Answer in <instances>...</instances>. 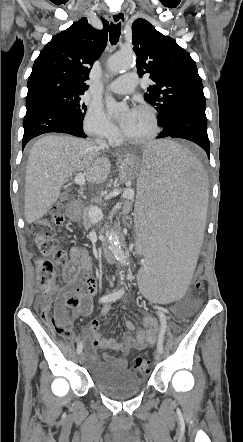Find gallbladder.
Here are the masks:
<instances>
[{"label": "gallbladder", "mask_w": 243, "mask_h": 442, "mask_svg": "<svg viewBox=\"0 0 243 442\" xmlns=\"http://www.w3.org/2000/svg\"><path fill=\"white\" fill-rule=\"evenodd\" d=\"M70 191L69 187H64V192L60 195L61 200H66L68 197V192Z\"/></svg>", "instance_id": "1"}]
</instances>
